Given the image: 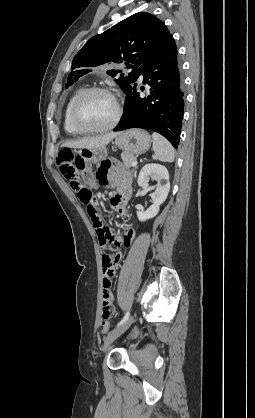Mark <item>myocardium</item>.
<instances>
[{
	"mask_svg": "<svg viewBox=\"0 0 255 418\" xmlns=\"http://www.w3.org/2000/svg\"><path fill=\"white\" fill-rule=\"evenodd\" d=\"M93 93H103L108 95L115 103V114L111 122L105 126L102 127H88L80 123L78 115L79 110L81 107V104L83 101L91 94ZM122 114V107L119 102V100L116 98V96L107 88L99 87V86H93L84 89L75 99L71 112H70V121L74 128H76L78 131L82 133H103L107 132L109 130H112L119 122L120 117Z\"/></svg>",
	"mask_w": 255,
	"mask_h": 418,
	"instance_id": "myocardium-1",
	"label": "myocardium"
}]
</instances>
